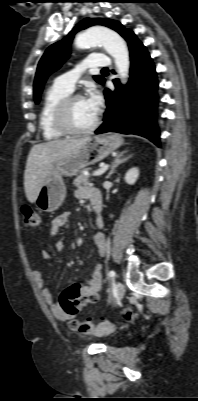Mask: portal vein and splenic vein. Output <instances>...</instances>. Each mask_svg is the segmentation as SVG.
<instances>
[{"label": "portal vein and splenic vein", "instance_id": "portal-vein-and-splenic-vein-1", "mask_svg": "<svg viewBox=\"0 0 198 401\" xmlns=\"http://www.w3.org/2000/svg\"><path fill=\"white\" fill-rule=\"evenodd\" d=\"M108 168H109V165H105V166L102 167L101 169L95 171V172L93 173V176H100V175L104 174V173L108 170Z\"/></svg>", "mask_w": 198, "mask_h": 401}]
</instances>
